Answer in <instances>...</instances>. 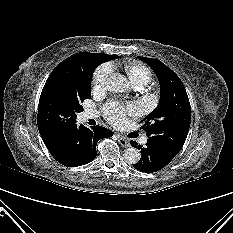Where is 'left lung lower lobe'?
Here are the masks:
<instances>
[{
    "label": "left lung lower lobe",
    "mask_w": 233,
    "mask_h": 233,
    "mask_svg": "<svg viewBox=\"0 0 233 233\" xmlns=\"http://www.w3.org/2000/svg\"><path fill=\"white\" fill-rule=\"evenodd\" d=\"M133 147L141 149V158L138 163L133 164L134 168L153 173L164 168L176 155L164 149L157 143L148 140L145 147L138 145L137 142H130Z\"/></svg>",
    "instance_id": "0a47b994"
}]
</instances>
